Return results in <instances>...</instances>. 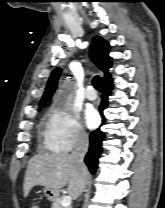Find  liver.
Here are the masks:
<instances>
[{
  "mask_svg": "<svg viewBox=\"0 0 165 208\" xmlns=\"http://www.w3.org/2000/svg\"><path fill=\"white\" fill-rule=\"evenodd\" d=\"M88 177V171L82 175L69 154L38 153L28 163L23 185L24 197L37 185L59 193L68 183V193L76 199L84 190Z\"/></svg>",
  "mask_w": 165,
  "mask_h": 208,
  "instance_id": "obj_1",
  "label": "liver"
}]
</instances>
